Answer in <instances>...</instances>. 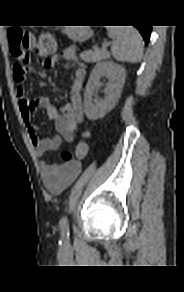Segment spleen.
Here are the masks:
<instances>
[{"instance_id":"3e777b00","label":"spleen","mask_w":184,"mask_h":292,"mask_svg":"<svg viewBox=\"0 0 184 292\" xmlns=\"http://www.w3.org/2000/svg\"><path fill=\"white\" fill-rule=\"evenodd\" d=\"M108 35L114 39L111 47L113 57L119 62L138 63L143 55V41L132 26L109 27Z\"/></svg>"}]
</instances>
